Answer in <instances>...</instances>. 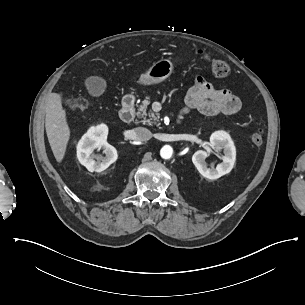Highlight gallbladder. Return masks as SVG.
<instances>
[{
	"label": "gallbladder",
	"instance_id": "1",
	"mask_svg": "<svg viewBox=\"0 0 305 305\" xmlns=\"http://www.w3.org/2000/svg\"><path fill=\"white\" fill-rule=\"evenodd\" d=\"M85 85L92 96H100L106 88V81L98 76H91L86 79Z\"/></svg>",
	"mask_w": 305,
	"mask_h": 305
}]
</instances>
